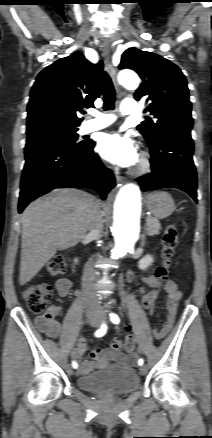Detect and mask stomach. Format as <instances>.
Returning a JSON list of instances; mask_svg holds the SVG:
<instances>
[{
  "label": "stomach",
  "mask_w": 212,
  "mask_h": 438,
  "mask_svg": "<svg viewBox=\"0 0 212 438\" xmlns=\"http://www.w3.org/2000/svg\"><path fill=\"white\" fill-rule=\"evenodd\" d=\"M145 204L148 210L159 219H164L170 216L175 209L172 197L170 194L163 191H156L147 194L145 197Z\"/></svg>",
  "instance_id": "stomach-1"
}]
</instances>
